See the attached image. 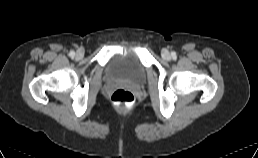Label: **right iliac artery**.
<instances>
[{
  "label": "right iliac artery",
  "instance_id": "right-iliac-artery-1",
  "mask_svg": "<svg viewBox=\"0 0 258 158\" xmlns=\"http://www.w3.org/2000/svg\"><path fill=\"white\" fill-rule=\"evenodd\" d=\"M69 55H70L71 57H74V56H75V52L72 50V51H70Z\"/></svg>",
  "mask_w": 258,
  "mask_h": 158
}]
</instances>
